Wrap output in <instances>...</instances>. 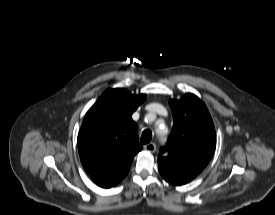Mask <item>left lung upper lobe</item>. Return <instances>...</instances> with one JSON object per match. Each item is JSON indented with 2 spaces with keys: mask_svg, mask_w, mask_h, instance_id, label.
<instances>
[{
  "mask_svg": "<svg viewBox=\"0 0 275 215\" xmlns=\"http://www.w3.org/2000/svg\"><path fill=\"white\" fill-rule=\"evenodd\" d=\"M173 128L166 147L158 158L162 177L173 185L194 179L209 163L216 145L215 128L205 104L188 93L180 100H170Z\"/></svg>",
  "mask_w": 275,
  "mask_h": 215,
  "instance_id": "obj_1",
  "label": "left lung upper lobe"
}]
</instances>
